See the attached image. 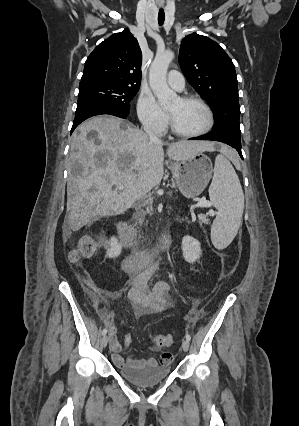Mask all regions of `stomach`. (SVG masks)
Wrapping results in <instances>:
<instances>
[{
    "label": "stomach",
    "instance_id": "0dacf381",
    "mask_svg": "<svg viewBox=\"0 0 299 426\" xmlns=\"http://www.w3.org/2000/svg\"><path fill=\"white\" fill-rule=\"evenodd\" d=\"M173 177L180 192L187 198L200 195L208 185L213 172L212 162L202 152L171 164Z\"/></svg>",
    "mask_w": 299,
    "mask_h": 426
}]
</instances>
